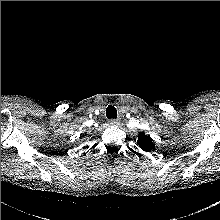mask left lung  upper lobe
<instances>
[{"label":"left lung upper lobe","instance_id":"5c2ea615","mask_svg":"<svg viewBox=\"0 0 220 220\" xmlns=\"http://www.w3.org/2000/svg\"><path fill=\"white\" fill-rule=\"evenodd\" d=\"M138 145L145 152H150L155 148L150 136H146L143 132L138 136Z\"/></svg>","mask_w":220,"mask_h":220}]
</instances>
